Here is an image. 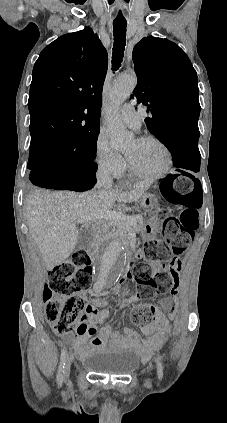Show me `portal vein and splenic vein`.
<instances>
[{"label":"portal vein and splenic vein","instance_id":"obj_1","mask_svg":"<svg viewBox=\"0 0 227 423\" xmlns=\"http://www.w3.org/2000/svg\"><path fill=\"white\" fill-rule=\"evenodd\" d=\"M96 217H106V219H116L119 223H134L135 217L131 215H125L121 211H100Z\"/></svg>","mask_w":227,"mask_h":423}]
</instances>
